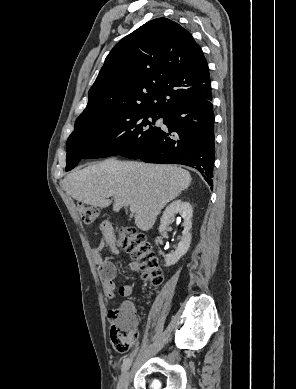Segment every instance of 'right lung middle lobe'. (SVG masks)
<instances>
[{"label": "right lung middle lobe", "mask_w": 296, "mask_h": 389, "mask_svg": "<svg viewBox=\"0 0 296 389\" xmlns=\"http://www.w3.org/2000/svg\"><path fill=\"white\" fill-rule=\"evenodd\" d=\"M165 115L138 108H113L80 117L67 140L66 171L81 159L122 155L136 158L160 129L155 121Z\"/></svg>", "instance_id": "obj_1"}]
</instances>
